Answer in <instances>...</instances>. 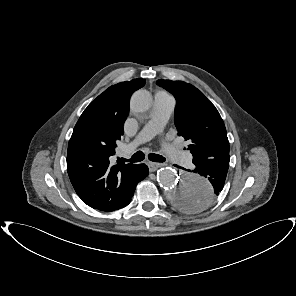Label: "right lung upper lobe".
Masks as SVG:
<instances>
[{
  "label": "right lung upper lobe",
  "instance_id": "obj_1",
  "mask_svg": "<svg viewBox=\"0 0 296 296\" xmlns=\"http://www.w3.org/2000/svg\"><path fill=\"white\" fill-rule=\"evenodd\" d=\"M145 82L134 79L109 87L88 105L75 125L67 171L78 196L94 209L116 210L128 193V175L134 164L112 166L109 158L123 135L130 97Z\"/></svg>",
  "mask_w": 296,
  "mask_h": 296
}]
</instances>
